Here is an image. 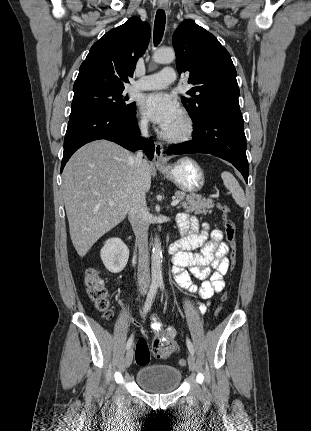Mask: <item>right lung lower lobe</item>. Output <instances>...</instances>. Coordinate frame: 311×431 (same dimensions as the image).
<instances>
[{
	"label": "right lung lower lobe",
	"instance_id": "obj_1",
	"mask_svg": "<svg viewBox=\"0 0 311 431\" xmlns=\"http://www.w3.org/2000/svg\"><path fill=\"white\" fill-rule=\"evenodd\" d=\"M139 135L136 110L132 114H121L107 110L87 109L70 114L64 139L61 172L78 148L98 139L113 141L131 151L142 148L148 158L152 159L153 140L151 138L140 140Z\"/></svg>",
	"mask_w": 311,
	"mask_h": 431
}]
</instances>
